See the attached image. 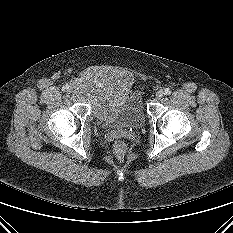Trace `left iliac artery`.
Wrapping results in <instances>:
<instances>
[{"label": "left iliac artery", "instance_id": "left-iliac-artery-1", "mask_svg": "<svg viewBox=\"0 0 233 233\" xmlns=\"http://www.w3.org/2000/svg\"><path fill=\"white\" fill-rule=\"evenodd\" d=\"M164 94H165V95H170V94H171V90H170L169 88H166V89L164 90Z\"/></svg>", "mask_w": 233, "mask_h": 233}]
</instances>
